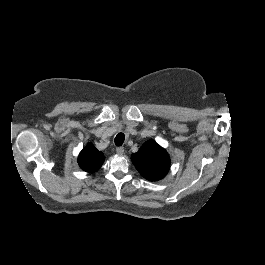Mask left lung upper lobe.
<instances>
[{"instance_id":"left-lung-upper-lobe-1","label":"left lung upper lobe","mask_w":265,"mask_h":265,"mask_svg":"<svg viewBox=\"0 0 265 265\" xmlns=\"http://www.w3.org/2000/svg\"><path fill=\"white\" fill-rule=\"evenodd\" d=\"M131 159L139 173L150 181L162 179L170 168L168 153L154 140L145 142Z\"/></svg>"}]
</instances>
